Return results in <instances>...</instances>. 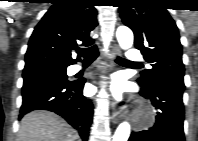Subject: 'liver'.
<instances>
[{
  "mask_svg": "<svg viewBox=\"0 0 198 141\" xmlns=\"http://www.w3.org/2000/svg\"><path fill=\"white\" fill-rule=\"evenodd\" d=\"M77 132L61 117L38 110L25 115L20 123L17 141H76Z\"/></svg>",
  "mask_w": 198,
  "mask_h": 141,
  "instance_id": "6515ba94",
  "label": "liver"
}]
</instances>
